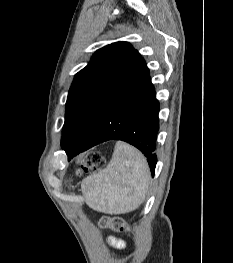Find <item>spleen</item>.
Returning a JSON list of instances; mask_svg holds the SVG:
<instances>
[{"mask_svg":"<svg viewBox=\"0 0 233 263\" xmlns=\"http://www.w3.org/2000/svg\"><path fill=\"white\" fill-rule=\"evenodd\" d=\"M149 182V166L143 154L133 146L117 142L107 167L87 176L81 190L93 210L124 214L142 204Z\"/></svg>","mask_w":233,"mask_h":263,"instance_id":"3e777b00","label":"spleen"}]
</instances>
